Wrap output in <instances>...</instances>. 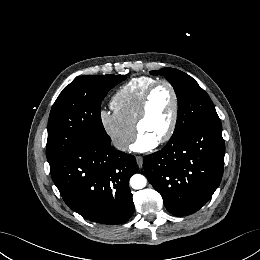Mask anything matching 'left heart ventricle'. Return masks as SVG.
<instances>
[{
    "instance_id": "b2bd125f",
    "label": "left heart ventricle",
    "mask_w": 260,
    "mask_h": 260,
    "mask_svg": "<svg viewBox=\"0 0 260 260\" xmlns=\"http://www.w3.org/2000/svg\"><path fill=\"white\" fill-rule=\"evenodd\" d=\"M172 111V94L168 87L161 86L151 97L148 113L140 124V133L158 141L168 130Z\"/></svg>"
}]
</instances>
